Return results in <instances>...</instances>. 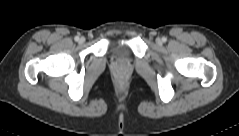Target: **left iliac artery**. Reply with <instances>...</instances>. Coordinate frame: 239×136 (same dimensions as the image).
<instances>
[{
  "mask_svg": "<svg viewBox=\"0 0 239 136\" xmlns=\"http://www.w3.org/2000/svg\"><path fill=\"white\" fill-rule=\"evenodd\" d=\"M162 41H163V42H166V41H167V38H166V37H163V38H162Z\"/></svg>",
  "mask_w": 239,
  "mask_h": 136,
  "instance_id": "left-iliac-artery-1",
  "label": "left iliac artery"
}]
</instances>
